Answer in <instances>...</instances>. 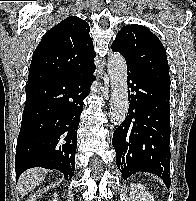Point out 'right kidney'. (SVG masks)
I'll list each match as a JSON object with an SVG mask.
<instances>
[{
  "instance_id": "right-kidney-1",
  "label": "right kidney",
  "mask_w": 196,
  "mask_h": 201,
  "mask_svg": "<svg viewBox=\"0 0 196 201\" xmlns=\"http://www.w3.org/2000/svg\"><path fill=\"white\" fill-rule=\"evenodd\" d=\"M57 198H58V194H55V195H54V200H53V201H57Z\"/></svg>"
}]
</instances>
